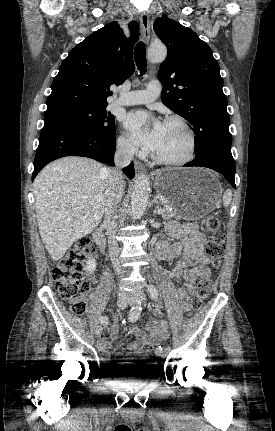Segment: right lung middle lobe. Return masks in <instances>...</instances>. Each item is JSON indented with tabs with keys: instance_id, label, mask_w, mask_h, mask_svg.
<instances>
[{
	"instance_id": "right-lung-middle-lobe-1",
	"label": "right lung middle lobe",
	"mask_w": 275,
	"mask_h": 431,
	"mask_svg": "<svg viewBox=\"0 0 275 431\" xmlns=\"http://www.w3.org/2000/svg\"><path fill=\"white\" fill-rule=\"evenodd\" d=\"M105 105L71 107L45 112L44 126L69 125L106 134L115 132V118Z\"/></svg>"
}]
</instances>
